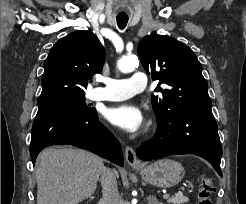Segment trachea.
I'll list each match as a JSON object with an SVG mask.
<instances>
[{"label": "trachea", "mask_w": 246, "mask_h": 204, "mask_svg": "<svg viewBox=\"0 0 246 204\" xmlns=\"http://www.w3.org/2000/svg\"><path fill=\"white\" fill-rule=\"evenodd\" d=\"M128 23L127 18H117V25L120 29H124Z\"/></svg>", "instance_id": "obj_1"}]
</instances>
